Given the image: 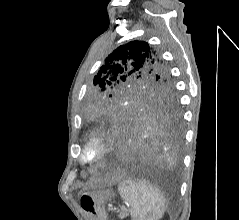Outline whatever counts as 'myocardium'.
<instances>
[{
	"label": "myocardium",
	"instance_id": "obj_1",
	"mask_svg": "<svg viewBox=\"0 0 239 220\" xmlns=\"http://www.w3.org/2000/svg\"><path fill=\"white\" fill-rule=\"evenodd\" d=\"M109 150V140L104 133L99 130L92 131L83 146L81 160L91 164L101 160Z\"/></svg>",
	"mask_w": 239,
	"mask_h": 220
}]
</instances>
